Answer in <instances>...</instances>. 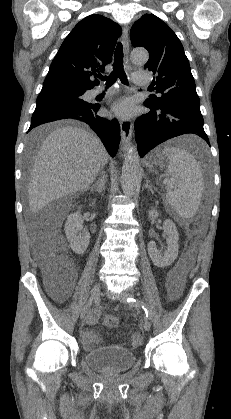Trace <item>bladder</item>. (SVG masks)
<instances>
[{"label": "bladder", "mask_w": 231, "mask_h": 419, "mask_svg": "<svg viewBox=\"0 0 231 419\" xmlns=\"http://www.w3.org/2000/svg\"><path fill=\"white\" fill-rule=\"evenodd\" d=\"M84 361L89 368L100 373H121L137 362V355L123 346L107 345L86 352Z\"/></svg>", "instance_id": "1"}]
</instances>
